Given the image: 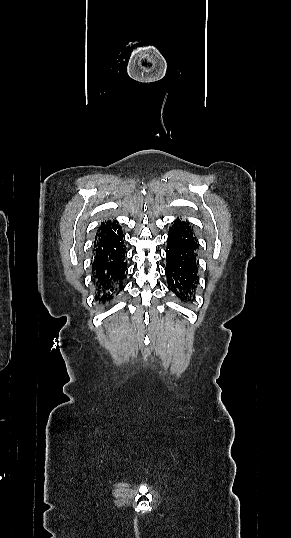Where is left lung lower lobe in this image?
I'll list each match as a JSON object with an SVG mask.
<instances>
[{"instance_id":"0a47b994","label":"left lung lower lobe","mask_w":291,"mask_h":538,"mask_svg":"<svg viewBox=\"0 0 291 538\" xmlns=\"http://www.w3.org/2000/svg\"><path fill=\"white\" fill-rule=\"evenodd\" d=\"M166 248V271L168 287L181 300L191 301L198 284V249L189 222L177 219L169 228Z\"/></svg>"}]
</instances>
